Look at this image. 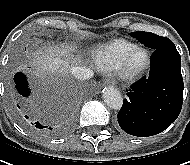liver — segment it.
<instances>
[{
	"label": "liver",
	"instance_id": "obj_1",
	"mask_svg": "<svg viewBox=\"0 0 190 165\" xmlns=\"http://www.w3.org/2000/svg\"><path fill=\"white\" fill-rule=\"evenodd\" d=\"M76 62L78 59L71 60L68 47H42L32 53L31 64L35 66L32 72L44 83L48 76L66 75L67 68Z\"/></svg>",
	"mask_w": 190,
	"mask_h": 165
}]
</instances>
